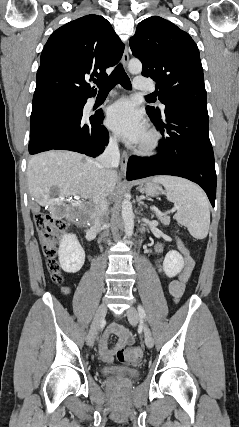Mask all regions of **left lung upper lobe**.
<instances>
[{"instance_id":"5c2ea615","label":"left lung upper lobe","mask_w":239,"mask_h":427,"mask_svg":"<svg viewBox=\"0 0 239 427\" xmlns=\"http://www.w3.org/2000/svg\"><path fill=\"white\" fill-rule=\"evenodd\" d=\"M130 48L143 64L142 75L156 81L166 107L208 114L199 50L188 33L161 17H149L138 24ZM146 110L161 116L158 108Z\"/></svg>"}]
</instances>
